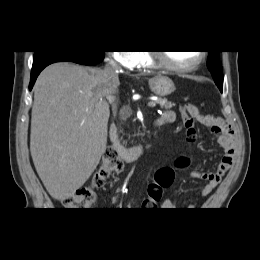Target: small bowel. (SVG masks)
Segmentation results:
<instances>
[{"label":"small bowel","instance_id":"small-bowel-1","mask_svg":"<svg viewBox=\"0 0 260 260\" xmlns=\"http://www.w3.org/2000/svg\"><path fill=\"white\" fill-rule=\"evenodd\" d=\"M195 120L209 127L217 135L219 145L223 148L224 154L218 167L213 172L192 171L191 177L207 180L206 185L201 190V196L209 195L221 182L224 175L231 168L235 156L236 133L233 125L219 117L211 115H202L198 113ZM175 121V114L172 111H164L159 119L160 124H170ZM157 203L143 201L144 208H155ZM160 207L164 210H174L175 205L170 199H164L160 202ZM195 203L189 208H194Z\"/></svg>","mask_w":260,"mask_h":260}]
</instances>
